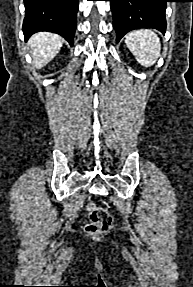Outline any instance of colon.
<instances>
[{"instance_id":"1","label":"colon","mask_w":193,"mask_h":287,"mask_svg":"<svg viewBox=\"0 0 193 287\" xmlns=\"http://www.w3.org/2000/svg\"><path fill=\"white\" fill-rule=\"evenodd\" d=\"M89 221L84 229L90 235H99L105 232L112 224V215L110 212L94 202H88Z\"/></svg>"}]
</instances>
